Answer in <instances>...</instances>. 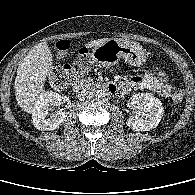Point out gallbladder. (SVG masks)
Returning <instances> with one entry per match:
<instances>
[{
  "label": "gallbladder",
  "mask_w": 195,
  "mask_h": 195,
  "mask_svg": "<svg viewBox=\"0 0 195 195\" xmlns=\"http://www.w3.org/2000/svg\"><path fill=\"white\" fill-rule=\"evenodd\" d=\"M61 55H66V52L62 51L60 52Z\"/></svg>",
  "instance_id": "bac80fb5"
}]
</instances>
